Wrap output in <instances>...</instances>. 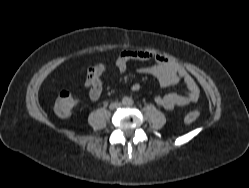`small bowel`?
Segmentation results:
<instances>
[{
    "label": "small bowel",
    "instance_id": "small-bowel-1",
    "mask_svg": "<svg viewBox=\"0 0 249 188\" xmlns=\"http://www.w3.org/2000/svg\"><path fill=\"white\" fill-rule=\"evenodd\" d=\"M130 61L152 62L141 67L139 72L156 78L162 87H171L181 81L184 83L185 91L182 94L169 93L155 97L156 104L165 110L172 111L176 107L187 106L199 99L200 90L195 79L177 62L145 50H125L116 58L115 65L120 72H124ZM106 70L107 66L104 63L90 66L87 70L85 88L91 101H97L102 95V77ZM132 89L137 91L139 86L134 84Z\"/></svg>",
    "mask_w": 249,
    "mask_h": 188
}]
</instances>
